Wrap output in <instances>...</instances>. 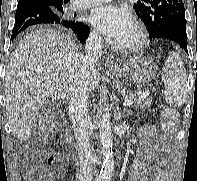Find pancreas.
Listing matches in <instances>:
<instances>
[{
	"mask_svg": "<svg viewBox=\"0 0 197 181\" xmlns=\"http://www.w3.org/2000/svg\"><path fill=\"white\" fill-rule=\"evenodd\" d=\"M124 99L125 100H131L133 104L142 109H146L151 105V100L150 99H140L133 93H125L124 94Z\"/></svg>",
	"mask_w": 197,
	"mask_h": 181,
	"instance_id": "obj_1",
	"label": "pancreas"
}]
</instances>
